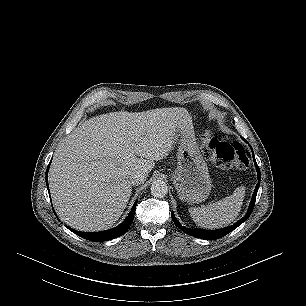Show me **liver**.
I'll use <instances>...</instances> for the list:
<instances>
[{"instance_id": "6515ba94", "label": "liver", "mask_w": 306, "mask_h": 306, "mask_svg": "<svg viewBox=\"0 0 306 306\" xmlns=\"http://www.w3.org/2000/svg\"><path fill=\"white\" fill-rule=\"evenodd\" d=\"M190 123L181 107L111 112L81 123L58 144L49 171L60 218L84 232L112 227L130 199V174L147 177Z\"/></svg>"}]
</instances>
